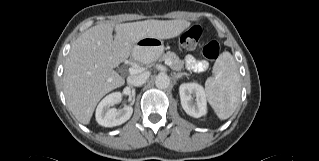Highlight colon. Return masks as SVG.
<instances>
[{
    "label": "colon",
    "mask_w": 319,
    "mask_h": 161,
    "mask_svg": "<svg viewBox=\"0 0 319 161\" xmlns=\"http://www.w3.org/2000/svg\"><path fill=\"white\" fill-rule=\"evenodd\" d=\"M202 34L200 26H193L182 33L180 36V44L185 49H193L199 42ZM204 58L215 61L220 55V44L217 40H209L202 49Z\"/></svg>",
    "instance_id": "1"
}]
</instances>
